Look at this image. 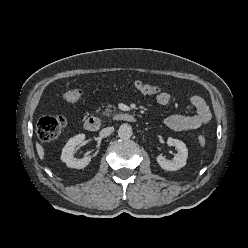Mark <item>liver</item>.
Wrapping results in <instances>:
<instances>
[{
    "mask_svg": "<svg viewBox=\"0 0 248 248\" xmlns=\"http://www.w3.org/2000/svg\"><path fill=\"white\" fill-rule=\"evenodd\" d=\"M36 149H37L38 156L40 157L41 160H43L44 159L43 147L39 143H36Z\"/></svg>",
    "mask_w": 248,
    "mask_h": 248,
    "instance_id": "obj_1",
    "label": "liver"
}]
</instances>
